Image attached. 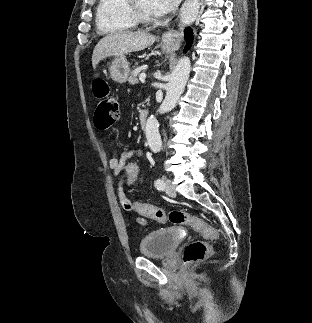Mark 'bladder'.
<instances>
[{
    "instance_id": "bladder-1",
    "label": "bladder",
    "mask_w": 312,
    "mask_h": 323,
    "mask_svg": "<svg viewBox=\"0 0 312 323\" xmlns=\"http://www.w3.org/2000/svg\"><path fill=\"white\" fill-rule=\"evenodd\" d=\"M180 243L178 230L165 228L148 233L140 242L139 253L150 258H164Z\"/></svg>"
}]
</instances>
